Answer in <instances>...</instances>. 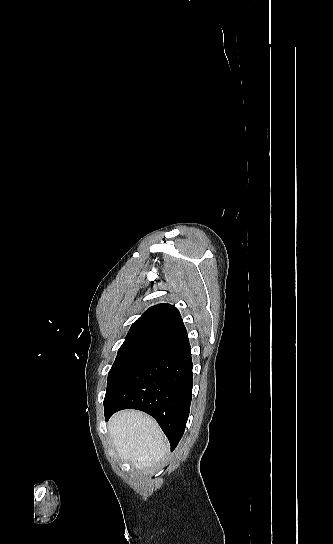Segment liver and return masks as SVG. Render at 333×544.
I'll use <instances>...</instances> for the list:
<instances>
[{
    "instance_id": "obj_1",
    "label": "liver",
    "mask_w": 333,
    "mask_h": 544,
    "mask_svg": "<svg viewBox=\"0 0 333 544\" xmlns=\"http://www.w3.org/2000/svg\"><path fill=\"white\" fill-rule=\"evenodd\" d=\"M109 431L120 459L136 468L159 462L167 453V440L150 416L136 410L116 413L109 421Z\"/></svg>"
}]
</instances>
